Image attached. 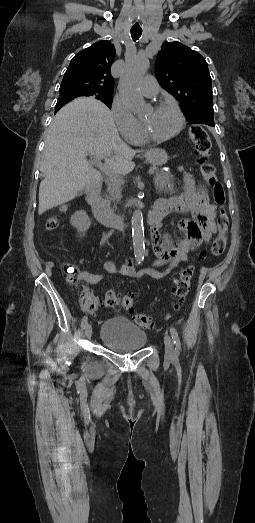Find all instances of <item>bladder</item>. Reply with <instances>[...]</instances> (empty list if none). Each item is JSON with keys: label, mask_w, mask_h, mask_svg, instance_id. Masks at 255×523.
Returning <instances> with one entry per match:
<instances>
[{"label": "bladder", "mask_w": 255, "mask_h": 523, "mask_svg": "<svg viewBox=\"0 0 255 523\" xmlns=\"http://www.w3.org/2000/svg\"><path fill=\"white\" fill-rule=\"evenodd\" d=\"M100 340L113 352L127 353L141 349L147 342V333L127 319H107L102 325Z\"/></svg>", "instance_id": "bladder-1"}]
</instances>
